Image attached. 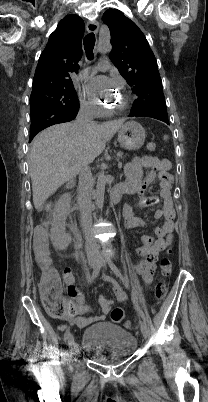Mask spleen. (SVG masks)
I'll return each mask as SVG.
<instances>
[{
    "instance_id": "1",
    "label": "spleen",
    "mask_w": 208,
    "mask_h": 402,
    "mask_svg": "<svg viewBox=\"0 0 208 402\" xmlns=\"http://www.w3.org/2000/svg\"><path fill=\"white\" fill-rule=\"evenodd\" d=\"M163 140H168V136H164Z\"/></svg>"
}]
</instances>
